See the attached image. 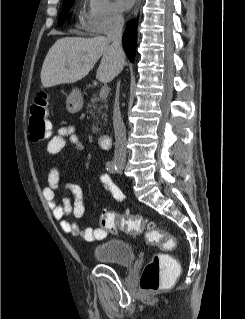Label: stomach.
Masks as SVG:
<instances>
[{
  "label": "stomach",
  "mask_w": 245,
  "mask_h": 319,
  "mask_svg": "<svg viewBox=\"0 0 245 319\" xmlns=\"http://www.w3.org/2000/svg\"><path fill=\"white\" fill-rule=\"evenodd\" d=\"M83 107V97L77 88H74L67 97L66 109L69 113H77Z\"/></svg>",
  "instance_id": "stomach-1"
}]
</instances>
